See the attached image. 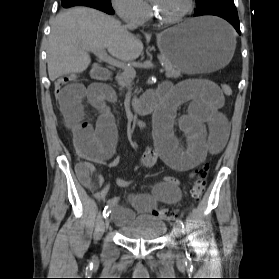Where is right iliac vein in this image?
<instances>
[{"label":"right iliac vein","mask_w":279,"mask_h":279,"mask_svg":"<svg viewBox=\"0 0 279 279\" xmlns=\"http://www.w3.org/2000/svg\"><path fill=\"white\" fill-rule=\"evenodd\" d=\"M110 224V219L109 217H106L104 222H103V230H107Z\"/></svg>","instance_id":"63e3f726"}]
</instances>
